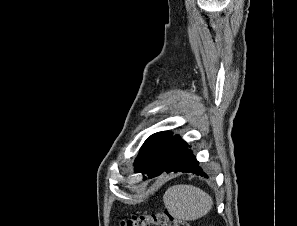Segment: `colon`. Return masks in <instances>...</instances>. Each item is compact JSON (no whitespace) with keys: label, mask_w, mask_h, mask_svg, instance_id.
<instances>
[{"label":"colon","mask_w":297,"mask_h":226,"mask_svg":"<svg viewBox=\"0 0 297 226\" xmlns=\"http://www.w3.org/2000/svg\"><path fill=\"white\" fill-rule=\"evenodd\" d=\"M120 226H190L181 219L172 217L168 212H155L152 214L131 215L122 220Z\"/></svg>","instance_id":"5ec220e1"}]
</instances>
